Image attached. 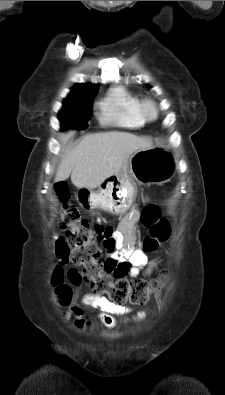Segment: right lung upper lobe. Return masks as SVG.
<instances>
[{
    "instance_id": "obj_1",
    "label": "right lung upper lobe",
    "mask_w": 225,
    "mask_h": 395,
    "mask_svg": "<svg viewBox=\"0 0 225 395\" xmlns=\"http://www.w3.org/2000/svg\"><path fill=\"white\" fill-rule=\"evenodd\" d=\"M73 93L71 95L78 96H91L98 92V86L90 85V84H79L76 88L73 89Z\"/></svg>"
}]
</instances>
